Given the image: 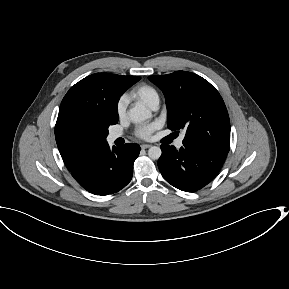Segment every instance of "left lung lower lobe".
<instances>
[{
    "instance_id": "left-lung-lower-lobe-1",
    "label": "left lung lower lobe",
    "mask_w": 289,
    "mask_h": 289,
    "mask_svg": "<svg viewBox=\"0 0 289 289\" xmlns=\"http://www.w3.org/2000/svg\"><path fill=\"white\" fill-rule=\"evenodd\" d=\"M161 150L158 167L162 176L186 192H195L210 183L227 156L226 152L186 141L179 150L169 145H161Z\"/></svg>"
}]
</instances>
